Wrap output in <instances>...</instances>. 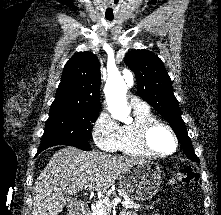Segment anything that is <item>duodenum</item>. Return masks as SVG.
<instances>
[{
    "label": "duodenum",
    "instance_id": "obj_1",
    "mask_svg": "<svg viewBox=\"0 0 221 215\" xmlns=\"http://www.w3.org/2000/svg\"><path fill=\"white\" fill-rule=\"evenodd\" d=\"M92 208L91 203H86L83 209L80 212L75 213L74 215H89Z\"/></svg>",
    "mask_w": 221,
    "mask_h": 215
}]
</instances>
